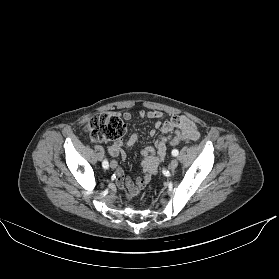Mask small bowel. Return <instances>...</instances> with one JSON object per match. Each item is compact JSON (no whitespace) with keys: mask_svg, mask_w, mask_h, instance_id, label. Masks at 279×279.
<instances>
[{"mask_svg":"<svg viewBox=\"0 0 279 279\" xmlns=\"http://www.w3.org/2000/svg\"><path fill=\"white\" fill-rule=\"evenodd\" d=\"M124 120L132 119L129 111L122 113ZM140 118L155 119L154 128L150 130V135L154 136L158 130L162 132L154 147H147L143 150V172L142 176H134L133 178H125L121 168H117L115 178L119 188L126 191V197L129 199L136 196L148 184L151 176L156 174L160 164L164 161L167 151V143L175 136L184 137L190 141H195L200 134L196 124L183 115H175L170 119H165L162 112L158 110H141ZM138 140L137 134H131L126 140H116L108 148V152L112 157L121 156L122 160L126 159L123 149L132 147Z\"/></svg>","mask_w":279,"mask_h":279,"instance_id":"small-bowel-1","label":"small bowel"}]
</instances>
